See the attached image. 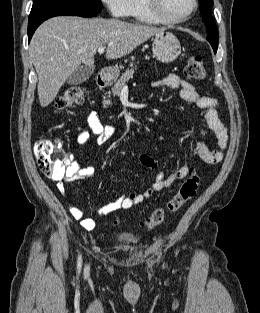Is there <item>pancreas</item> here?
Segmentation results:
<instances>
[{
  "label": "pancreas",
  "instance_id": "obj_1",
  "mask_svg": "<svg viewBox=\"0 0 260 313\" xmlns=\"http://www.w3.org/2000/svg\"><path fill=\"white\" fill-rule=\"evenodd\" d=\"M136 70V67H135ZM133 74H134V69H127L120 77V79H118L115 83V85L113 86L111 92L114 96L119 95L121 90L123 89V87L125 86V83L133 78ZM103 105L104 107H107L109 105H111V101L110 100H104L103 101Z\"/></svg>",
  "mask_w": 260,
  "mask_h": 313
}]
</instances>
